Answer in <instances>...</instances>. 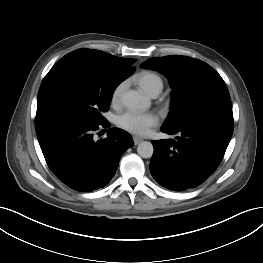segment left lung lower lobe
Returning a JSON list of instances; mask_svg holds the SVG:
<instances>
[{
	"instance_id": "0a47b994",
	"label": "left lung lower lobe",
	"mask_w": 263,
	"mask_h": 263,
	"mask_svg": "<svg viewBox=\"0 0 263 263\" xmlns=\"http://www.w3.org/2000/svg\"><path fill=\"white\" fill-rule=\"evenodd\" d=\"M161 131L177 137L152 142L150 172L161 186L184 191L202 184L217 169L233 133V118L213 114L162 126Z\"/></svg>"
}]
</instances>
